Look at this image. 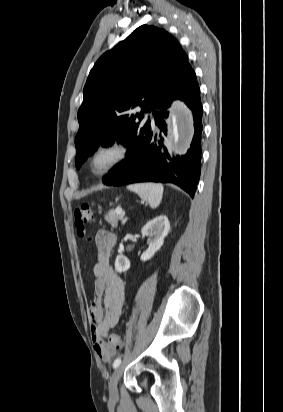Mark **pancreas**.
<instances>
[{
  "label": "pancreas",
  "instance_id": "1",
  "mask_svg": "<svg viewBox=\"0 0 283 412\" xmlns=\"http://www.w3.org/2000/svg\"><path fill=\"white\" fill-rule=\"evenodd\" d=\"M105 220L112 226V228H116L118 221L120 220V216L114 210H110L105 215Z\"/></svg>",
  "mask_w": 283,
  "mask_h": 412
}]
</instances>
